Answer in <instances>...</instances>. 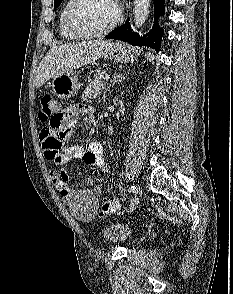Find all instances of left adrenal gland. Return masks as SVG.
I'll list each match as a JSON object with an SVG mask.
<instances>
[{
	"instance_id": "obj_1",
	"label": "left adrenal gland",
	"mask_w": 233,
	"mask_h": 294,
	"mask_svg": "<svg viewBox=\"0 0 233 294\" xmlns=\"http://www.w3.org/2000/svg\"><path fill=\"white\" fill-rule=\"evenodd\" d=\"M127 77V76H126ZM126 77H124V75L122 74H114L113 76V80L111 82V84L109 85L108 89L110 88L111 85H114L115 83L121 82L122 80H124ZM108 89L106 90V92L108 91ZM105 92V93H106ZM104 98H105V94H104Z\"/></svg>"
}]
</instances>
